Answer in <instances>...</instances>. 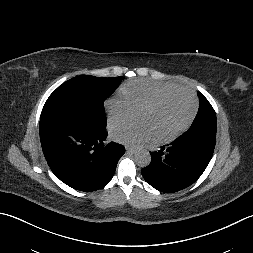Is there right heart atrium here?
<instances>
[{"instance_id": "1", "label": "right heart atrium", "mask_w": 253, "mask_h": 253, "mask_svg": "<svg viewBox=\"0 0 253 253\" xmlns=\"http://www.w3.org/2000/svg\"><path fill=\"white\" fill-rule=\"evenodd\" d=\"M105 110L109 125L123 124L132 112V108L123 96L108 98L105 101Z\"/></svg>"}]
</instances>
